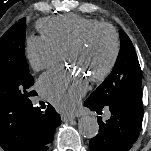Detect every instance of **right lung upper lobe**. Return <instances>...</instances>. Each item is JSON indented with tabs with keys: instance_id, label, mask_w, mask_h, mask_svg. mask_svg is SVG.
Returning <instances> with one entry per match:
<instances>
[{
	"instance_id": "cb5924a9",
	"label": "right lung upper lobe",
	"mask_w": 151,
	"mask_h": 151,
	"mask_svg": "<svg viewBox=\"0 0 151 151\" xmlns=\"http://www.w3.org/2000/svg\"><path fill=\"white\" fill-rule=\"evenodd\" d=\"M30 102L0 99V145L5 151H29L34 134Z\"/></svg>"
}]
</instances>
